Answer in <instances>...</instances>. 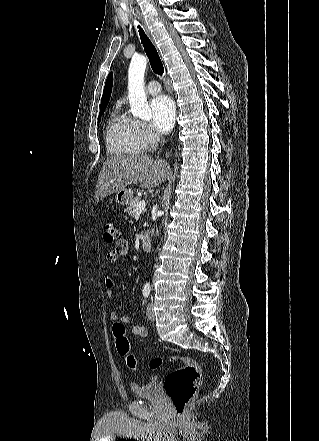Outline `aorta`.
I'll use <instances>...</instances> for the list:
<instances>
[{"instance_id":"1","label":"aorta","mask_w":319,"mask_h":441,"mask_svg":"<svg viewBox=\"0 0 319 441\" xmlns=\"http://www.w3.org/2000/svg\"><path fill=\"white\" fill-rule=\"evenodd\" d=\"M146 65L147 58L145 56L139 55L132 58L128 71V96L132 115L142 120L149 121L152 114L147 104V97L144 89V73ZM146 286H149V284H146Z\"/></svg>"}]
</instances>
